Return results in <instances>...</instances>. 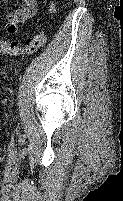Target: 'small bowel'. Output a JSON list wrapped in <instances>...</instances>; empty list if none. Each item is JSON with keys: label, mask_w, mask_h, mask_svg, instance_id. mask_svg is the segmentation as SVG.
<instances>
[{"label": "small bowel", "mask_w": 123, "mask_h": 201, "mask_svg": "<svg viewBox=\"0 0 123 201\" xmlns=\"http://www.w3.org/2000/svg\"><path fill=\"white\" fill-rule=\"evenodd\" d=\"M36 11V0H20L18 7L14 11L6 14L5 30L7 33H17L19 25L33 17Z\"/></svg>", "instance_id": "obj_1"}]
</instances>
